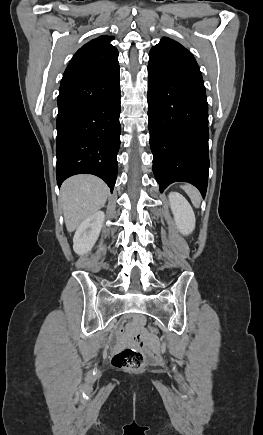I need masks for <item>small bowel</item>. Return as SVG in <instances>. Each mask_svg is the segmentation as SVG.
I'll return each mask as SVG.
<instances>
[{"instance_id": "c3829d8e", "label": "small bowel", "mask_w": 263, "mask_h": 435, "mask_svg": "<svg viewBox=\"0 0 263 435\" xmlns=\"http://www.w3.org/2000/svg\"><path fill=\"white\" fill-rule=\"evenodd\" d=\"M136 322L138 325H145L146 318L144 316H138ZM154 339V332H144L143 338L142 336H133L132 343L136 345L138 350H147L150 361H160L161 354L158 350L159 343L158 341H154ZM116 343L117 346L121 347L128 344L129 340L123 332H119L116 336Z\"/></svg>"}]
</instances>
